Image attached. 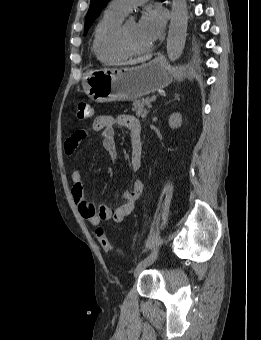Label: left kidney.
Segmentation results:
<instances>
[{
  "instance_id": "left-kidney-1",
  "label": "left kidney",
  "mask_w": 261,
  "mask_h": 340,
  "mask_svg": "<svg viewBox=\"0 0 261 340\" xmlns=\"http://www.w3.org/2000/svg\"><path fill=\"white\" fill-rule=\"evenodd\" d=\"M182 124V116L180 113H173L170 117H169V126L172 129H177L181 126Z\"/></svg>"
}]
</instances>
